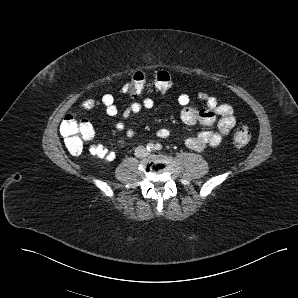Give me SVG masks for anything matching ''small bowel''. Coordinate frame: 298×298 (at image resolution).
Segmentation results:
<instances>
[{"label":"small bowel","mask_w":298,"mask_h":298,"mask_svg":"<svg viewBox=\"0 0 298 298\" xmlns=\"http://www.w3.org/2000/svg\"><path fill=\"white\" fill-rule=\"evenodd\" d=\"M197 98L205 103L202 109L191 107L190 96L180 94L178 97L179 104L183 107L181 110V120L187 125L201 123L206 126L217 124V130H204L198 132L185 140V145L195 151H203L208 147L219 146L223 138L229 134L236 124L233 108L229 104L219 103L218 100L205 92H199ZM155 102L152 98H145L141 101L132 102L126 109L121 112L122 119L117 121L116 128L124 132V139L120 140V145H124L128 139L135 135L132 128H127L125 120L131 116L140 113L143 110L152 109ZM97 107H103L105 112L110 116H116L119 110L115 104V99L111 94H105L100 99H85L78 104L82 110H91ZM170 132L167 128H160L156 131V136L162 139L168 138ZM90 154L112 162L116 158V153L97 143H90L88 146Z\"/></svg>","instance_id":"c3829d8e"}]
</instances>
